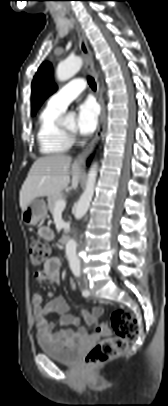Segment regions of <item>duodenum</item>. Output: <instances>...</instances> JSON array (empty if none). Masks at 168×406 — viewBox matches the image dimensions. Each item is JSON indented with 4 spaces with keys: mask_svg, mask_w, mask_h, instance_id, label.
Returning a JSON list of instances; mask_svg holds the SVG:
<instances>
[{
    "mask_svg": "<svg viewBox=\"0 0 168 406\" xmlns=\"http://www.w3.org/2000/svg\"><path fill=\"white\" fill-rule=\"evenodd\" d=\"M68 242H69V234H68L67 231H65V232L62 234L61 238H60V243H61L62 245H64V246H66V245L68 244Z\"/></svg>",
    "mask_w": 168,
    "mask_h": 406,
    "instance_id": "duodenum-1",
    "label": "duodenum"
}]
</instances>
